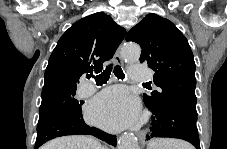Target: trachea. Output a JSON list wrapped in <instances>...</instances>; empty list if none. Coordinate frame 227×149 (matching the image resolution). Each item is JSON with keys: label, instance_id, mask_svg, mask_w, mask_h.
Returning a JSON list of instances; mask_svg holds the SVG:
<instances>
[{"label": "trachea", "instance_id": "1", "mask_svg": "<svg viewBox=\"0 0 227 149\" xmlns=\"http://www.w3.org/2000/svg\"><path fill=\"white\" fill-rule=\"evenodd\" d=\"M112 71L118 79L123 80L125 78V74L119 65H116L114 67L113 65H109L98 76H94L90 73V75H87V78L90 79L92 77L95 79L97 84H103L108 81Z\"/></svg>", "mask_w": 227, "mask_h": 149}]
</instances>
